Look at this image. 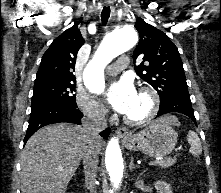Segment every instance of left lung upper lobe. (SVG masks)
Wrapping results in <instances>:
<instances>
[{"mask_svg":"<svg viewBox=\"0 0 221 193\" xmlns=\"http://www.w3.org/2000/svg\"><path fill=\"white\" fill-rule=\"evenodd\" d=\"M135 28L140 34V41L134 50L133 59L143 58L135 71L155 88L160 96V104L175 95L189 94L183 64L175 44L164 32L141 18H137Z\"/></svg>","mask_w":221,"mask_h":193,"instance_id":"left-lung-upper-lobe-1","label":"left lung upper lobe"}]
</instances>
